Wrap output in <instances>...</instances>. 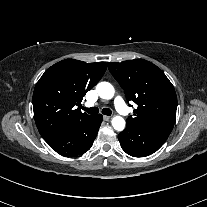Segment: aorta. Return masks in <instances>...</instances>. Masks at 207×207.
I'll use <instances>...</instances> for the list:
<instances>
[{
  "mask_svg": "<svg viewBox=\"0 0 207 207\" xmlns=\"http://www.w3.org/2000/svg\"><path fill=\"white\" fill-rule=\"evenodd\" d=\"M96 91L102 99H112L114 96V87L109 82H100L96 86ZM112 126L116 131H122L125 128V120L121 116H115L112 119Z\"/></svg>",
  "mask_w": 207,
  "mask_h": 207,
  "instance_id": "obj_1",
  "label": "aorta"
}]
</instances>
